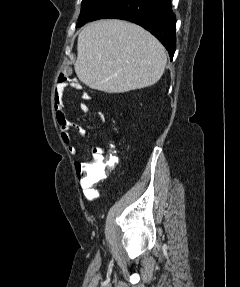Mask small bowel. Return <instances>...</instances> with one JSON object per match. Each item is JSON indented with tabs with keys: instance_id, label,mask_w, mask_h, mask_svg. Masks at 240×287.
<instances>
[{
	"instance_id": "obj_1",
	"label": "small bowel",
	"mask_w": 240,
	"mask_h": 287,
	"mask_svg": "<svg viewBox=\"0 0 240 287\" xmlns=\"http://www.w3.org/2000/svg\"><path fill=\"white\" fill-rule=\"evenodd\" d=\"M68 88H80V85L76 82H67L65 85L62 86V88L59 90L58 95L54 97V115L57 123L59 124L61 139L64 143L68 145L70 151H74L75 148L72 145L70 129L74 128L81 137L86 136L87 130L80 124V122L82 121V118L88 113L89 107L85 103L80 104L79 109L82 116L78 118L77 121L67 120L64 113L63 96ZM82 99L85 101H89L91 100V96L88 93L84 92L82 94ZM98 117L101 122L105 121V115L102 112L98 114ZM104 152L105 149L103 146L94 147L92 150L93 158L97 159L102 157Z\"/></svg>"
}]
</instances>
